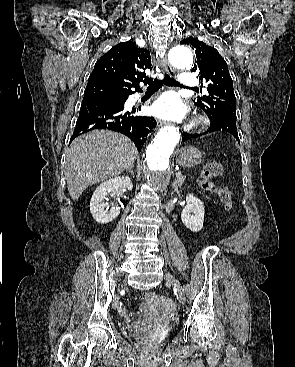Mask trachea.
<instances>
[{
  "label": "trachea",
  "instance_id": "obj_1",
  "mask_svg": "<svg viewBox=\"0 0 295 367\" xmlns=\"http://www.w3.org/2000/svg\"><path fill=\"white\" fill-rule=\"evenodd\" d=\"M149 84V82H147ZM146 83V84H147ZM163 84L168 86H183L178 83L174 78H171L169 75L165 74L163 79H155L152 83L147 87V91H153L159 89ZM196 89V88H193Z\"/></svg>",
  "mask_w": 295,
  "mask_h": 367
}]
</instances>
